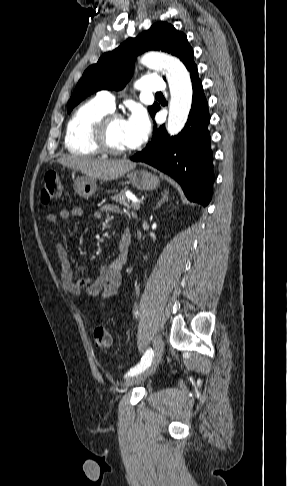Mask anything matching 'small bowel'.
I'll return each instance as SVG.
<instances>
[{
    "label": "small bowel",
    "instance_id": "obj_1",
    "mask_svg": "<svg viewBox=\"0 0 287 486\" xmlns=\"http://www.w3.org/2000/svg\"><path fill=\"white\" fill-rule=\"evenodd\" d=\"M103 212L119 216L123 215L119 207L109 204L101 210L93 211L91 217L98 220L102 217ZM83 215L84 211L82 208L73 207L71 209H63L59 214L49 213L45 216V220L48 223H56L67 221L73 217H82ZM130 239L129 232L125 230L116 245V257L109 263L100 265L95 274L77 280L73 277L66 247L62 242H57L55 244V252L60 266L62 287L73 296L79 297L85 290L88 297L99 298L102 301L115 295L121 285L122 269L127 262Z\"/></svg>",
    "mask_w": 287,
    "mask_h": 486
}]
</instances>
